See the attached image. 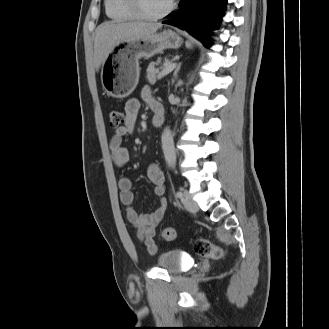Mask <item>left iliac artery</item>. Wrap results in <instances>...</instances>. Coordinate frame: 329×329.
<instances>
[{
    "mask_svg": "<svg viewBox=\"0 0 329 329\" xmlns=\"http://www.w3.org/2000/svg\"><path fill=\"white\" fill-rule=\"evenodd\" d=\"M176 197L183 198V192L181 190L180 191H177L176 192Z\"/></svg>",
    "mask_w": 329,
    "mask_h": 329,
    "instance_id": "44dca946",
    "label": "left iliac artery"
}]
</instances>
